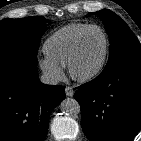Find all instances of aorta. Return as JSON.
Here are the masks:
<instances>
[{"mask_svg": "<svg viewBox=\"0 0 141 141\" xmlns=\"http://www.w3.org/2000/svg\"><path fill=\"white\" fill-rule=\"evenodd\" d=\"M60 110L69 116H74L81 112L78 101L73 98L64 99L60 103Z\"/></svg>", "mask_w": 141, "mask_h": 141, "instance_id": "762f6f07", "label": "aorta"}]
</instances>
